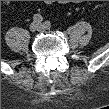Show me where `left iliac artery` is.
<instances>
[{
	"label": "left iliac artery",
	"instance_id": "left-iliac-artery-1",
	"mask_svg": "<svg viewBox=\"0 0 109 109\" xmlns=\"http://www.w3.org/2000/svg\"><path fill=\"white\" fill-rule=\"evenodd\" d=\"M50 26H51V23L49 21H45L44 27L45 28H50Z\"/></svg>",
	"mask_w": 109,
	"mask_h": 109
}]
</instances>
